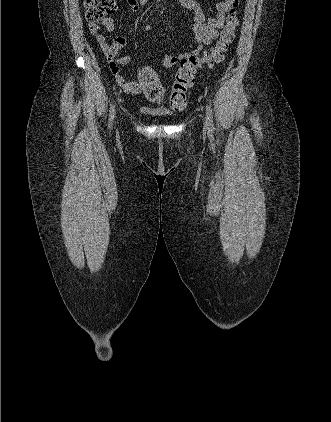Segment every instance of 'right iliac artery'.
Segmentation results:
<instances>
[{
	"mask_svg": "<svg viewBox=\"0 0 331 422\" xmlns=\"http://www.w3.org/2000/svg\"><path fill=\"white\" fill-rule=\"evenodd\" d=\"M115 113V105H112L110 108V116H109V127H111Z\"/></svg>",
	"mask_w": 331,
	"mask_h": 422,
	"instance_id": "82829eb1",
	"label": "right iliac artery"
}]
</instances>
